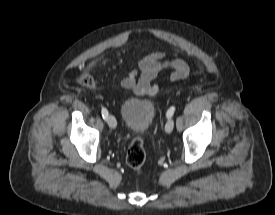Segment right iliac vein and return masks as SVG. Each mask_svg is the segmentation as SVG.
Here are the masks:
<instances>
[{
	"instance_id": "right-iliac-vein-1",
	"label": "right iliac vein",
	"mask_w": 275,
	"mask_h": 215,
	"mask_svg": "<svg viewBox=\"0 0 275 215\" xmlns=\"http://www.w3.org/2000/svg\"><path fill=\"white\" fill-rule=\"evenodd\" d=\"M107 123H108L109 127L113 128V129L116 128V126H117V121L113 115H109L107 117Z\"/></svg>"
}]
</instances>
